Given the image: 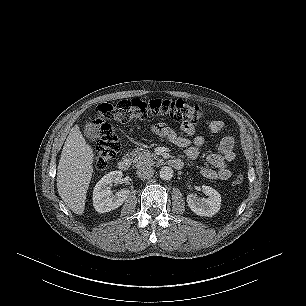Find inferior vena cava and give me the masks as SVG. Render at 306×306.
<instances>
[{"mask_svg": "<svg viewBox=\"0 0 306 306\" xmlns=\"http://www.w3.org/2000/svg\"><path fill=\"white\" fill-rule=\"evenodd\" d=\"M138 177L142 179L151 178L154 175V169L150 165H144L137 169Z\"/></svg>", "mask_w": 306, "mask_h": 306, "instance_id": "inferior-vena-cava-1", "label": "inferior vena cava"}]
</instances>
